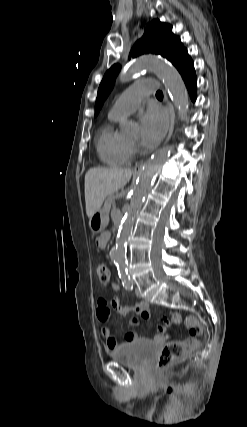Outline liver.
I'll use <instances>...</instances> for the list:
<instances>
[{
	"label": "liver",
	"instance_id": "obj_1",
	"mask_svg": "<svg viewBox=\"0 0 247 427\" xmlns=\"http://www.w3.org/2000/svg\"><path fill=\"white\" fill-rule=\"evenodd\" d=\"M130 169L94 167L85 174L86 214L90 218L101 209L104 199L129 182Z\"/></svg>",
	"mask_w": 247,
	"mask_h": 427
}]
</instances>
